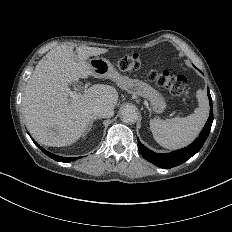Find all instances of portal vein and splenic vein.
Instances as JSON below:
<instances>
[{
    "mask_svg": "<svg viewBox=\"0 0 232 232\" xmlns=\"http://www.w3.org/2000/svg\"><path fill=\"white\" fill-rule=\"evenodd\" d=\"M69 95L72 96V97H74V96L76 97L77 96V94H75L73 91H70Z\"/></svg>",
    "mask_w": 232,
    "mask_h": 232,
    "instance_id": "portal-vein-and-splenic-vein-1",
    "label": "portal vein and splenic vein"
}]
</instances>
